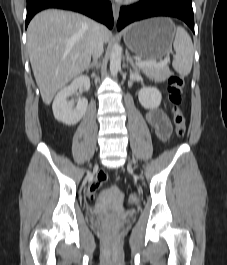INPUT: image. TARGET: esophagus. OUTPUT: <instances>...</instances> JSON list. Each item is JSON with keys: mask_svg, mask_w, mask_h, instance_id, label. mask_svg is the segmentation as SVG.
I'll use <instances>...</instances> for the list:
<instances>
[{"mask_svg": "<svg viewBox=\"0 0 227 265\" xmlns=\"http://www.w3.org/2000/svg\"><path fill=\"white\" fill-rule=\"evenodd\" d=\"M112 10H113L114 20L115 22H117L119 18L120 7L117 4L112 3Z\"/></svg>", "mask_w": 227, "mask_h": 265, "instance_id": "esophagus-1", "label": "esophagus"}]
</instances>
